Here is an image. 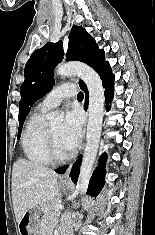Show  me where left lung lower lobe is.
<instances>
[{
	"mask_svg": "<svg viewBox=\"0 0 155 235\" xmlns=\"http://www.w3.org/2000/svg\"><path fill=\"white\" fill-rule=\"evenodd\" d=\"M100 78L102 79L103 87L105 88V102L107 105V110L110 109V106H108V103L112 101L113 95H114V75L112 74V70L110 68L109 63L103 67L100 72L98 73ZM82 90L86 93V104L85 108H87L88 103V91L86 85L81 87ZM106 154H103L100 158L99 167L94 171L89 187L87 190V194L96 197L99 192L101 191L103 185H104V179H105V169L103 166V163L106 161ZM81 156L74 164L72 171L70 173L71 180L76 183L79 175V166H80ZM68 166H64L61 168L56 169L55 171L59 174H62L66 171Z\"/></svg>",
	"mask_w": 155,
	"mask_h": 235,
	"instance_id": "left-lung-lower-lobe-1",
	"label": "left lung lower lobe"
}]
</instances>
